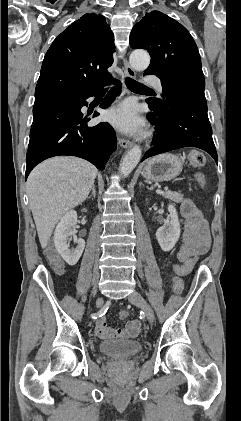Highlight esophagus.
I'll return each mask as SVG.
<instances>
[{"mask_svg":"<svg viewBox=\"0 0 241 421\" xmlns=\"http://www.w3.org/2000/svg\"><path fill=\"white\" fill-rule=\"evenodd\" d=\"M123 63H124V72L126 77L128 78H135L136 77V72L135 70L129 65L128 61L126 58L123 59ZM118 143L122 148H131L133 146V142L125 139L123 137H119L118 138Z\"/></svg>","mask_w":241,"mask_h":421,"instance_id":"1","label":"esophagus"}]
</instances>
